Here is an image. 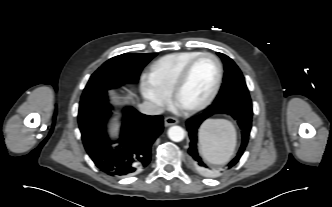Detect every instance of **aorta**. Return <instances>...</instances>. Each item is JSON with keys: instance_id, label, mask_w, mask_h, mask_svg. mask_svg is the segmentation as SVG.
Returning <instances> with one entry per match:
<instances>
[{"instance_id": "762f6f07", "label": "aorta", "mask_w": 332, "mask_h": 207, "mask_svg": "<svg viewBox=\"0 0 332 207\" xmlns=\"http://www.w3.org/2000/svg\"><path fill=\"white\" fill-rule=\"evenodd\" d=\"M168 137L174 142H180L185 137V131L180 126H172L168 129Z\"/></svg>"}]
</instances>
